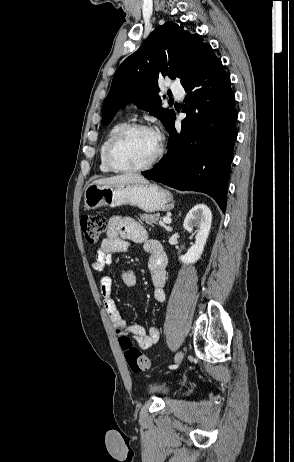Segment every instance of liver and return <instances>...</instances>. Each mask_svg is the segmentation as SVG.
<instances>
[{
    "label": "liver",
    "instance_id": "1",
    "mask_svg": "<svg viewBox=\"0 0 294 462\" xmlns=\"http://www.w3.org/2000/svg\"><path fill=\"white\" fill-rule=\"evenodd\" d=\"M125 183H148V181L138 174L127 173L117 175L109 178H102L95 180L93 184L97 185H112V184H125Z\"/></svg>",
    "mask_w": 294,
    "mask_h": 462
}]
</instances>
